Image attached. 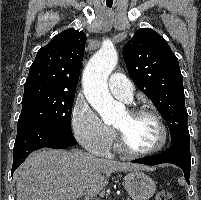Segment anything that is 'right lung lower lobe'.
I'll list each match as a JSON object with an SVG mask.
<instances>
[{
	"instance_id": "right-lung-lower-lobe-1",
	"label": "right lung lower lobe",
	"mask_w": 201,
	"mask_h": 200,
	"mask_svg": "<svg viewBox=\"0 0 201 200\" xmlns=\"http://www.w3.org/2000/svg\"><path fill=\"white\" fill-rule=\"evenodd\" d=\"M72 133L46 124L31 123L18 127L17 136L13 148V165L11 174L21 165L27 156L40 148L49 147L65 149L71 145H76Z\"/></svg>"
}]
</instances>
